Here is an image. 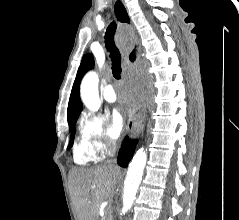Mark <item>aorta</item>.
Instances as JSON below:
<instances>
[{
    "instance_id": "aorta-1",
    "label": "aorta",
    "mask_w": 239,
    "mask_h": 220,
    "mask_svg": "<svg viewBox=\"0 0 239 220\" xmlns=\"http://www.w3.org/2000/svg\"><path fill=\"white\" fill-rule=\"evenodd\" d=\"M82 102L92 111L100 107L98 92V76L94 72L88 73L81 83L80 89ZM147 162V152L143 148L134 155L127 171L124 181L123 208L124 212L129 211L134 203L137 190L142 180L144 168Z\"/></svg>"
}]
</instances>
